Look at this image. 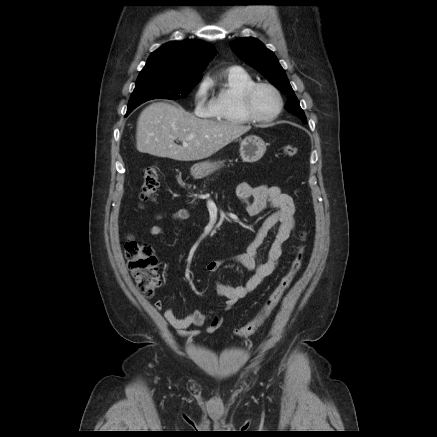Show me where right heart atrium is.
<instances>
[{
	"label": "right heart atrium",
	"mask_w": 437,
	"mask_h": 437,
	"mask_svg": "<svg viewBox=\"0 0 437 437\" xmlns=\"http://www.w3.org/2000/svg\"><path fill=\"white\" fill-rule=\"evenodd\" d=\"M209 87V82L204 80L194 93V110L201 117H210L214 114V98L209 94Z\"/></svg>",
	"instance_id": "1"
}]
</instances>
